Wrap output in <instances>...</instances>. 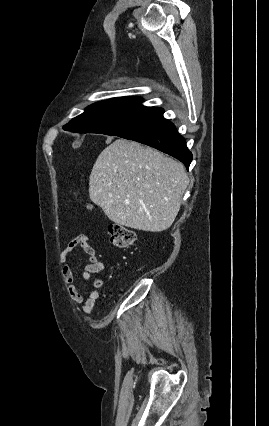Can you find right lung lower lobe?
Returning <instances> with one entry per match:
<instances>
[{"label":"right lung lower lobe","instance_id":"98d812e1","mask_svg":"<svg viewBox=\"0 0 269 426\" xmlns=\"http://www.w3.org/2000/svg\"><path fill=\"white\" fill-rule=\"evenodd\" d=\"M163 112V109L155 108L140 124L118 136L149 145L169 154L180 160L188 169L192 161V154L174 124L163 117ZM64 129L68 130L66 126Z\"/></svg>","mask_w":269,"mask_h":426}]
</instances>
